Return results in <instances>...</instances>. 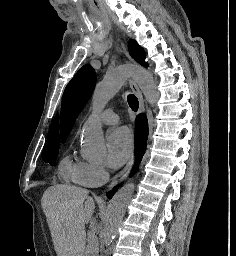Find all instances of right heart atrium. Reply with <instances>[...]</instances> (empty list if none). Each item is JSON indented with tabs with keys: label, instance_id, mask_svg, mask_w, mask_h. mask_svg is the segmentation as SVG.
<instances>
[{
	"label": "right heart atrium",
	"instance_id": "1",
	"mask_svg": "<svg viewBox=\"0 0 236 256\" xmlns=\"http://www.w3.org/2000/svg\"><path fill=\"white\" fill-rule=\"evenodd\" d=\"M108 179L109 173L103 161L78 160L74 164L72 181L77 185L97 188L104 185Z\"/></svg>",
	"mask_w": 236,
	"mask_h": 256
}]
</instances>
